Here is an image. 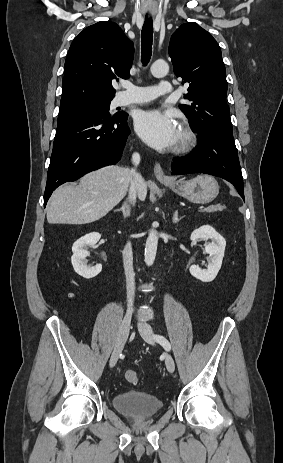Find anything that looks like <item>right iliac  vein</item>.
Segmentation results:
<instances>
[{
  "label": "right iliac vein",
  "instance_id": "1",
  "mask_svg": "<svg viewBox=\"0 0 283 463\" xmlns=\"http://www.w3.org/2000/svg\"><path fill=\"white\" fill-rule=\"evenodd\" d=\"M130 325H131V314L127 313L124 316L120 324L119 330H118L115 346H114L113 352L110 357V362H109L110 367H114L119 359V356L122 352L124 344L129 335Z\"/></svg>",
  "mask_w": 283,
  "mask_h": 463
}]
</instances>
